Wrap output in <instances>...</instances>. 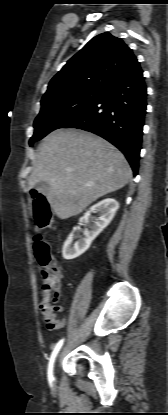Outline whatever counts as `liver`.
Masks as SVG:
<instances>
[{"label": "liver", "instance_id": "1", "mask_svg": "<svg viewBox=\"0 0 168 415\" xmlns=\"http://www.w3.org/2000/svg\"><path fill=\"white\" fill-rule=\"evenodd\" d=\"M131 178L124 155L108 141L82 130L58 129L39 145L28 184L31 189L48 182L46 197L52 210L58 218L67 219L123 188Z\"/></svg>", "mask_w": 168, "mask_h": 415}]
</instances>
